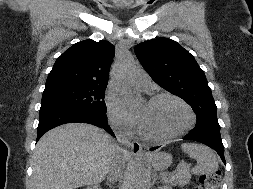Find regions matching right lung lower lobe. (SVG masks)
Returning <instances> with one entry per match:
<instances>
[{"instance_id": "1", "label": "right lung lower lobe", "mask_w": 253, "mask_h": 189, "mask_svg": "<svg viewBox=\"0 0 253 189\" xmlns=\"http://www.w3.org/2000/svg\"><path fill=\"white\" fill-rule=\"evenodd\" d=\"M73 122L89 123L101 126L107 132L113 134L111 128L108 126L105 114L66 108H45L40 109L37 141L48 130L65 123Z\"/></svg>"}]
</instances>
